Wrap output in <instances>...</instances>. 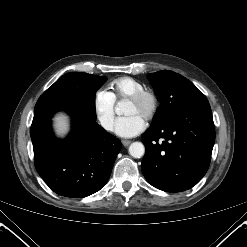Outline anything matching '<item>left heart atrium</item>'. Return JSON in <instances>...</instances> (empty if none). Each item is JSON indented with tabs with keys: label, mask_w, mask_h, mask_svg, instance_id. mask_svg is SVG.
Here are the masks:
<instances>
[{
	"label": "left heart atrium",
	"mask_w": 247,
	"mask_h": 247,
	"mask_svg": "<svg viewBox=\"0 0 247 247\" xmlns=\"http://www.w3.org/2000/svg\"><path fill=\"white\" fill-rule=\"evenodd\" d=\"M145 127L144 117L133 113L117 119L115 133L120 137L131 138L141 133Z\"/></svg>",
	"instance_id": "39dd6f15"
}]
</instances>
